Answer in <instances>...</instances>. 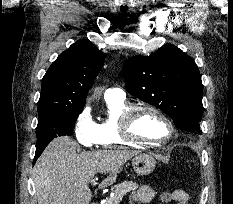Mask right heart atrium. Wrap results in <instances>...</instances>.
Wrapping results in <instances>:
<instances>
[{"mask_svg": "<svg viewBox=\"0 0 233 204\" xmlns=\"http://www.w3.org/2000/svg\"><path fill=\"white\" fill-rule=\"evenodd\" d=\"M74 135L84 147L91 148L98 144L96 123L92 119L88 107H84L77 115L74 123Z\"/></svg>", "mask_w": 233, "mask_h": 204, "instance_id": "1", "label": "right heart atrium"}]
</instances>
